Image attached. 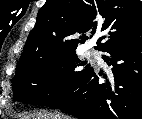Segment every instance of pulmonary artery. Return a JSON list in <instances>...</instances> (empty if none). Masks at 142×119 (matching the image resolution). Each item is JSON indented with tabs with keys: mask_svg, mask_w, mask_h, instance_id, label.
I'll return each mask as SVG.
<instances>
[{
	"mask_svg": "<svg viewBox=\"0 0 142 119\" xmlns=\"http://www.w3.org/2000/svg\"><path fill=\"white\" fill-rule=\"evenodd\" d=\"M89 56L94 58V59H99L100 58L99 55L94 51H90Z\"/></svg>",
	"mask_w": 142,
	"mask_h": 119,
	"instance_id": "pulmonary-artery-1",
	"label": "pulmonary artery"
}]
</instances>
